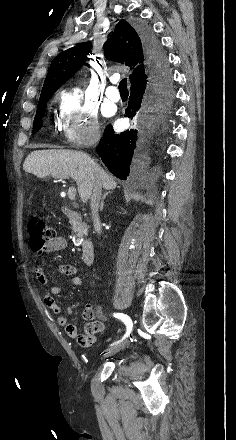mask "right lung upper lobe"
<instances>
[{"mask_svg": "<svg viewBox=\"0 0 236 440\" xmlns=\"http://www.w3.org/2000/svg\"><path fill=\"white\" fill-rule=\"evenodd\" d=\"M91 43H80L57 55L49 68L40 99L55 92L85 63ZM104 55L108 60L120 62L134 69L129 75L131 88L149 78L147 59L139 30L127 21L120 20L113 34L104 43ZM130 88V89H131Z\"/></svg>", "mask_w": 236, "mask_h": 440, "instance_id": "right-lung-upper-lobe-1", "label": "right lung upper lobe"}]
</instances>
